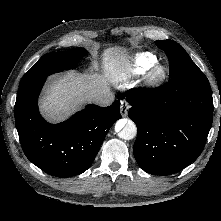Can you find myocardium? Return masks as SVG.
I'll return each mask as SVG.
<instances>
[{"label": "myocardium", "mask_w": 221, "mask_h": 221, "mask_svg": "<svg viewBox=\"0 0 221 221\" xmlns=\"http://www.w3.org/2000/svg\"><path fill=\"white\" fill-rule=\"evenodd\" d=\"M167 75V68L159 63H156L148 70L145 78V85L150 88L159 87L165 82Z\"/></svg>", "instance_id": "myocardium-1"}]
</instances>
